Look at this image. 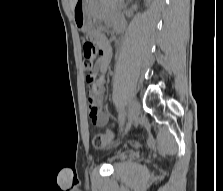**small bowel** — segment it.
<instances>
[{
    "mask_svg": "<svg viewBox=\"0 0 223 191\" xmlns=\"http://www.w3.org/2000/svg\"><path fill=\"white\" fill-rule=\"evenodd\" d=\"M124 29V22L117 19L115 31L121 33ZM91 37L98 43L99 52L96 61V70L101 73V77L96 80V87L90 88L87 94V106L89 116L96 126H103L108 122V114L103 108V92L105 89V79L103 75L107 72L111 60V47L106 37L100 31H94Z\"/></svg>",
    "mask_w": 223,
    "mask_h": 191,
    "instance_id": "c3829d8e",
    "label": "small bowel"
}]
</instances>
